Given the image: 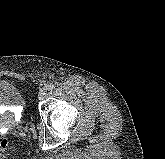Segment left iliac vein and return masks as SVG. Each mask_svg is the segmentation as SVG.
Returning <instances> with one entry per match:
<instances>
[{
	"label": "left iliac vein",
	"mask_w": 165,
	"mask_h": 159,
	"mask_svg": "<svg viewBox=\"0 0 165 159\" xmlns=\"http://www.w3.org/2000/svg\"><path fill=\"white\" fill-rule=\"evenodd\" d=\"M47 95V88L43 87L38 93V100L43 101Z\"/></svg>",
	"instance_id": "1"
}]
</instances>
